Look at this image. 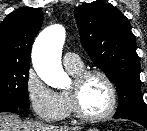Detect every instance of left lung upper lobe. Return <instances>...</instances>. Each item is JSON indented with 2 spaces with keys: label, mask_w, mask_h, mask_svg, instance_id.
I'll list each match as a JSON object with an SVG mask.
<instances>
[{
  "label": "left lung upper lobe",
  "mask_w": 147,
  "mask_h": 131,
  "mask_svg": "<svg viewBox=\"0 0 147 131\" xmlns=\"http://www.w3.org/2000/svg\"><path fill=\"white\" fill-rule=\"evenodd\" d=\"M74 16L82 46L116 84L119 105L114 116L147 119L140 86V58L128 19L103 1L77 7Z\"/></svg>",
  "instance_id": "1"
}]
</instances>
